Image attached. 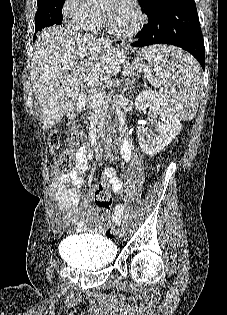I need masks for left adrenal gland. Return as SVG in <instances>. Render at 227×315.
<instances>
[{
    "mask_svg": "<svg viewBox=\"0 0 227 315\" xmlns=\"http://www.w3.org/2000/svg\"><path fill=\"white\" fill-rule=\"evenodd\" d=\"M137 76L138 74L136 73H133L132 75L128 76V79L126 80V84L124 88L125 90L131 91L134 88L133 84L135 83Z\"/></svg>",
    "mask_w": 227,
    "mask_h": 315,
    "instance_id": "obj_1",
    "label": "left adrenal gland"
}]
</instances>
